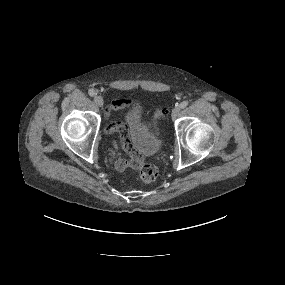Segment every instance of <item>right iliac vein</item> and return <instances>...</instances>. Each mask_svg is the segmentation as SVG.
I'll use <instances>...</instances> for the list:
<instances>
[{
	"label": "right iliac vein",
	"instance_id": "63e3f726",
	"mask_svg": "<svg viewBox=\"0 0 285 285\" xmlns=\"http://www.w3.org/2000/svg\"><path fill=\"white\" fill-rule=\"evenodd\" d=\"M94 101H95L96 105H98L99 107H102L104 104V100L101 96H96L94 98Z\"/></svg>",
	"mask_w": 285,
	"mask_h": 285
}]
</instances>
